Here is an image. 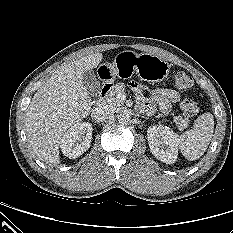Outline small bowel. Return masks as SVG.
<instances>
[{
	"label": "small bowel",
	"mask_w": 233,
	"mask_h": 233,
	"mask_svg": "<svg viewBox=\"0 0 233 233\" xmlns=\"http://www.w3.org/2000/svg\"><path fill=\"white\" fill-rule=\"evenodd\" d=\"M132 89L138 97V104L141 109L151 111L155 105L160 111L167 113L171 110L172 104L180 100V94L171 89L156 88L150 91L151 97L143 96V87L137 83H132Z\"/></svg>",
	"instance_id": "1"
}]
</instances>
